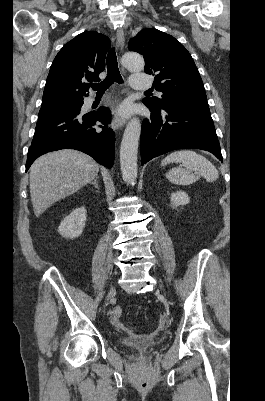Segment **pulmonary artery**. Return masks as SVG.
Here are the masks:
<instances>
[{
    "label": "pulmonary artery",
    "mask_w": 265,
    "mask_h": 401,
    "mask_svg": "<svg viewBox=\"0 0 265 401\" xmlns=\"http://www.w3.org/2000/svg\"><path fill=\"white\" fill-rule=\"evenodd\" d=\"M130 87L132 90H148L152 88V83L150 82V77L148 75H141V73L136 72L130 78Z\"/></svg>",
    "instance_id": "1"
}]
</instances>
